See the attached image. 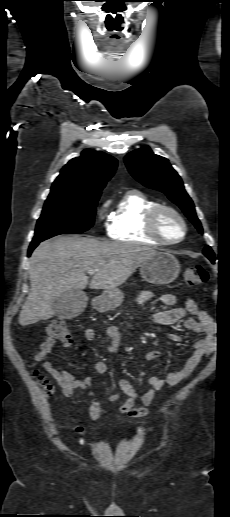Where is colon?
Masks as SVG:
<instances>
[{
    "mask_svg": "<svg viewBox=\"0 0 230 517\" xmlns=\"http://www.w3.org/2000/svg\"><path fill=\"white\" fill-rule=\"evenodd\" d=\"M183 276L186 284L189 286L203 284L208 279L207 271L205 270V268L199 265L187 267L184 270ZM45 333L50 338L57 339L63 342L70 340L69 329L63 321H53L49 323L45 327ZM33 375L37 379L43 391L47 394H51L53 391V386L51 385V383L37 371H35Z\"/></svg>",
    "mask_w": 230,
    "mask_h": 517,
    "instance_id": "1",
    "label": "colon"
}]
</instances>
